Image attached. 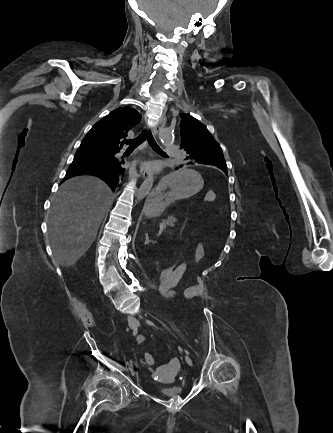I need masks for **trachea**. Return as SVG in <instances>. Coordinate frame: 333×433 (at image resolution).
I'll return each mask as SVG.
<instances>
[{"mask_svg": "<svg viewBox=\"0 0 333 433\" xmlns=\"http://www.w3.org/2000/svg\"><path fill=\"white\" fill-rule=\"evenodd\" d=\"M145 140H148L149 145L154 151L166 155V153L156 143L153 135L151 134V131L143 130L138 137L131 140H125L124 142L127 145H129V148L134 149L138 147L141 143H143Z\"/></svg>", "mask_w": 333, "mask_h": 433, "instance_id": "3493384b", "label": "trachea"}]
</instances>
